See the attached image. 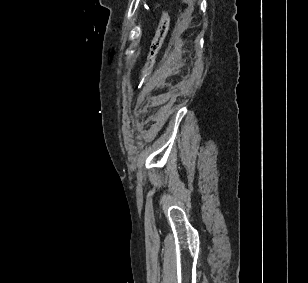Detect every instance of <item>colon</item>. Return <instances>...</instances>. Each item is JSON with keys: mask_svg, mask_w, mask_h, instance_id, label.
I'll return each mask as SVG.
<instances>
[{"mask_svg": "<svg viewBox=\"0 0 308 283\" xmlns=\"http://www.w3.org/2000/svg\"><path fill=\"white\" fill-rule=\"evenodd\" d=\"M170 17L167 11H163L159 19L156 32L149 46L145 63L141 69L140 80L143 81L150 73L156 57L161 49L163 41L169 29Z\"/></svg>", "mask_w": 308, "mask_h": 283, "instance_id": "obj_1", "label": "colon"}]
</instances>
